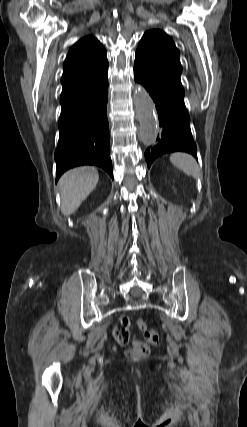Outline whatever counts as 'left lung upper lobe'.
Returning a JSON list of instances; mask_svg holds the SVG:
<instances>
[{"label":"left lung upper lobe","mask_w":247,"mask_h":427,"mask_svg":"<svg viewBox=\"0 0 247 427\" xmlns=\"http://www.w3.org/2000/svg\"><path fill=\"white\" fill-rule=\"evenodd\" d=\"M179 54L172 38L165 32L150 30L140 40L135 60L169 85L184 91L180 80L182 66Z\"/></svg>","instance_id":"obj_1"}]
</instances>
